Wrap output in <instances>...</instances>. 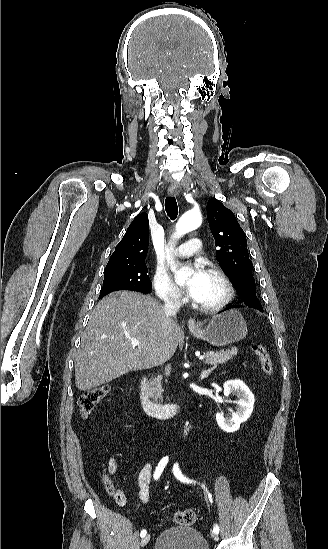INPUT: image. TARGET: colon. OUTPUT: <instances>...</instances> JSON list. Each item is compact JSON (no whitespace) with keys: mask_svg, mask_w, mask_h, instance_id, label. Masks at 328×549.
<instances>
[{"mask_svg":"<svg viewBox=\"0 0 328 549\" xmlns=\"http://www.w3.org/2000/svg\"><path fill=\"white\" fill-rule=\"evenodd\" d=\"M251 350L257 357L261 369L265 375L273 372V362L265 346L259 343H252ZM109 387L98 386L85 391L79 398V409L83 416L89 415L94 408L107 396ZM196 514L190 509L179 510L172 516V521L178 525L190 526L196 521Z\"/></svg>","mask_w":328,"mask_h":549,"instance_id":"obj_1","label":"colon"}]
</instances>
